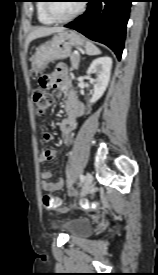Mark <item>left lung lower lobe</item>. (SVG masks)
<instances>
[{
	"label": "left lung lower lobe",
	"mask_w": 158,
	"mask_h": 275,
	"mask_svg": "<svg viewBox=\"0 0 158 275\" xmlns=\"http://www.w3.org/2000/svg\"><path fill=\"white\" fill-rule=\"evenodd\" d=\"M86 12L65 25L114 51L120 60L132 0H89Z\"/></svg>",
	"instance_id": "obj_1"
}]
</instances>
